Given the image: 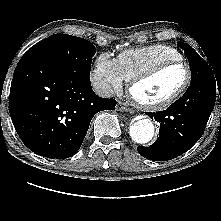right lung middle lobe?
<instances>
[{"instance_id": "dd1d6c3e", "label": "right lung middle lobe", "mask_w": 221, "mask_h": 221, "mask_svg": "<svg viewBox=\"0 0 221 221\" xmlns=\"http://www.w3.org/2000/svg\"><path fill=\"white\" fill-rule=\"evenodd\" d=\"M27 52L47 57L77 73L90 76L92 57L96 53V48L83 38L54 34L38 42Z\"/></svg>"}]
</instances>
